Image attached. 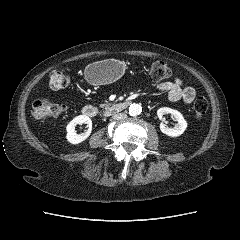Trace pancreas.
Segmentation results:
<instances>
[{
    "instance_id": "obj_1",
    "label": "pancreas",
    "mask_w": 240,
    "mask_h": 240,
    "mask_svg": "<svg viewBox=\"0 0 240 240\" xmlns=\"http://www.w3.org/2000/svg\"><path fill=\"white\" fill-rule=\"evenodd\" d=\"M110 106V104H100L101 108H108Z\"/></svg>"
}]
</instances>
